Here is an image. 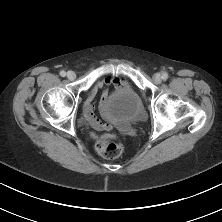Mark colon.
<instances>
[{"mask_svg":"<svg viewBox=\"0 0 222 222\" xmlns=\"http://www.w3.org/2000/svg\"><path fill=\"white\" fill-rule=\"evenodd\" d=\"M97 151L108 159L119 157L124 149L121 144L110 137L101 138L96 144Z\"/></svg>","mask_w":222,"mask_h":222,"instance_id":"5ec220e1","label":"colon"}]
</instances>
